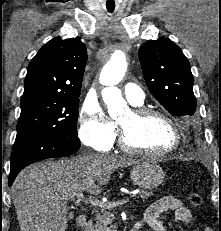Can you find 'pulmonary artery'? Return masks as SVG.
<instances>
[{
	"mask_svg": "<svg viewBox=\"0 0 221 231\" xmlns=\"http://www.w3.org/2000/svg\"><path fill=\"white\" fill-rule=\"evenodd\" d=\"M127 100L134 105L143 103L145 94L142 89L134 83H126L123 87Z\"/></svg>",
	"mask_w": 221,
	"mask_h": 231,
	"instance_id": "pulmonary-artery-1",
	"label": "pulmonary artery"
}]
</instances>
